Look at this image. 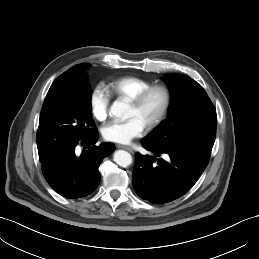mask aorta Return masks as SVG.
Masks as SVG:
<instances>
[{
  "label": "aorta",
  "instance_id": "762f6f07",
  "mask_svg": "<svg viewBox=\"0 0 259 259\" xmlns=\"http://www.w3.org/2000/svg\"><path fill=\"white\" fill-rule=\"evenodd\" d=\"M110 114L126 119L128 118V105L121 101H115L110 107ZM114 161L119 166L125 168L132 164V156L125 150H118L114 153Z\"/></svg>",
  "mask_w": 259,
  "mask_h": 259
}]
</instances>
